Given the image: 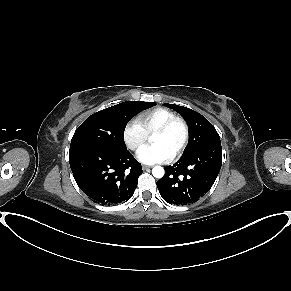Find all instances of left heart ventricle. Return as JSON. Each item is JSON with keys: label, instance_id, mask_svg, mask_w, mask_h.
Instances as JSON below:
<instances>
[{"label": "left heart ventricle", "instance_id": "obj_1", "mask_svg": "<svg viewBox=\"0 0 291 291\" xmlns=\"http://www.w3.org/2000/svg\"><path fill=\"white\" fill-rule=\"evenodd\" d=\"M183 137V131L180 125H175L166 134H154L152 137L153 144H160L167 148L172 153L175 152L176 148L180 144Z\"/></svg>", "mask_w": 291, "mask_h": 291}]
</instances>
